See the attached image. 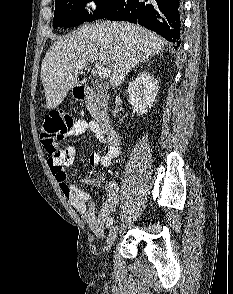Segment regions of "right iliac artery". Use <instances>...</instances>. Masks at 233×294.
Returning a JSON list of instances; mask_svg holds the SVG:
<instances>
[{
	"mask_svg": "<svg viewBox=\"0 0 233 294\" xmlns=\"http://www.w3.org/2000/svg\"><path fill=\"white\" fill-rule=\"evenodd\" d=\"M113 221H114V218H110L106 223L107 227H110L113 224Z\"/></svg>",
	"mask_w": 233,
	"mask_h": 294,
	"instance_id": "obj_1",
	"label": "right iliac artery"
}]
</instances>
